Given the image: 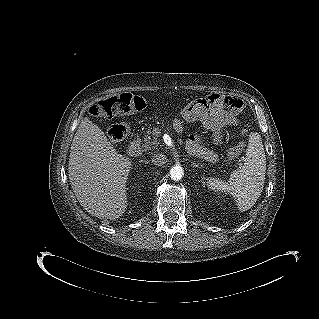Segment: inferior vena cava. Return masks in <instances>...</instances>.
<instances>
[{"label": "inferior vena cava", "instance_id": "1", "mask_svg": "<svg viewBox=\"0 0 319 319\" xmlns=\"http://www.w3.org/2000/svg\"><path fill=\"white\" fill-rule=\"evenodd\" d=\"M151 161L156 166H162L167 162V157L162 153L153 154Z\"/></svg>", "mask_w": 319, "mask_h": 319}]
</instances>
